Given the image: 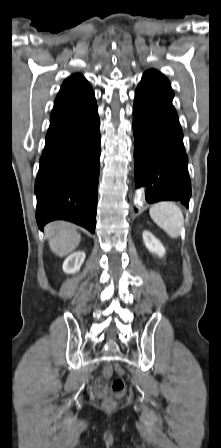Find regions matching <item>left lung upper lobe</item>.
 I'll return each mask as SVG.
<instances>
[{"mask_svg": "<svg viewBox=\"0 0 221 448\" xmlns=\"http://www.w3.org/2000/svg\"><path fill=\"white\" fill-rule=\"evenodd\" d=\"M138 86L164 98L174 97L169 80L156 70L146 71Z\"/></svg>", "mask_w": 221, "mask_h": 448, "instance_id": "obj_1", "label": "left lung upper lobe"}]
</instances>
